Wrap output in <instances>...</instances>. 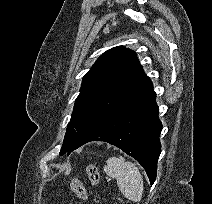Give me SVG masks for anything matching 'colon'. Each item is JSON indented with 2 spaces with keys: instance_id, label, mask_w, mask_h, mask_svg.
Listing matches in <instances>:
<instances>
[{
  "instance_id": "obj_1",
  "label": "colon",
  "mask_w": 212,
  "mask_h": 204,
  "mask_svg": "<svg viewBox=\"0 0 212 204\" xmlns=\"http://www.w3.org/2000/svg\"><path fill=\"white\" fill-rule=\"evenodd\" d=\"M88 178L92 185L96 186L100 182L98 168L95 164H89L86 168ZM71 189L73 193L81 200L88 198L87 190L78 178H73L71 181Z\"/></svg>"
}]
</instances>
